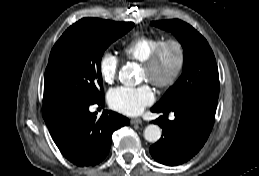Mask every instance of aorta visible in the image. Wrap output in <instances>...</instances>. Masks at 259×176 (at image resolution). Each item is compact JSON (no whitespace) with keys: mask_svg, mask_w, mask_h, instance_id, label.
<instances>
[{"mask_svg":"<svg viewBox=\"0 0 259 176\" xmlns=\"http://www.w3.org/2000/svg\"><path fill=\"white\" fill-rule=\"evenodd\" d=\"M119 80L126 86H133L138 83L136 65L128 63L119 72ZM161 128L158 125L150 124L144 130V138L151 143L157 142L161 138Z\"/></svg>","mask_w":259,"mask_h":176,"instance_id":"obj_1","label":"aorta"}]
</instances>
